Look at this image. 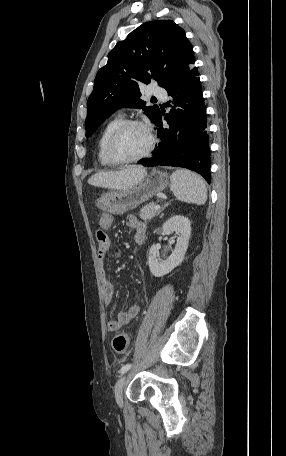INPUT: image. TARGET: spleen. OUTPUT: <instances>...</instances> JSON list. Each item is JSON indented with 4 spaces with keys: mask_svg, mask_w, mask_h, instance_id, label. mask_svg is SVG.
I'll list each match as a JSON object with an SVG mask.
<instances>
[{
    "mask_svg": "<svg viewBox=\"0 0 286 456\" xmlns=\"http://www.w3.org/2000/svg\"><path fill=\"white\" fill-rule=\"evenodd\" d=\"M170 189L182 202L203 205L207 200L204 180L196 173L186 169H179L171 175Z\"/></svg>",
    "mask_w": 286,
    "mask_h": 456,
    "instance_id": "3e777b00",
    "label": "spleen"
}]
</instances>
